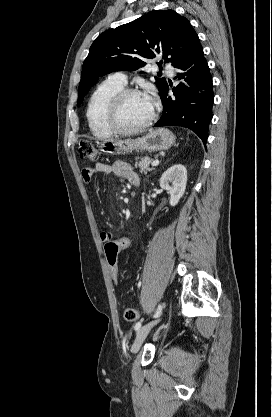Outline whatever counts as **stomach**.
<instances>
[{"instance_id": "1", "label": "stomach", "mask_w": 272, "mask_h": 417, "mask_svg": "<svg viewBox=\"0 0 272 417\" xmlns=\"http://www.w3.org/2000/svg\"><path fill=\"white\" fill-rule=\"evenodd\" d=\"M175 143V136L166 128L150 129L144 136L134 140L106 141L101 144V150L106 154L116 155L133 150L149 152L168 150Z\"/></svg>"}]
</instances>
